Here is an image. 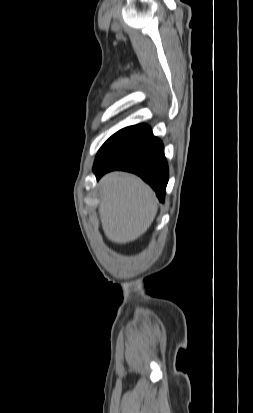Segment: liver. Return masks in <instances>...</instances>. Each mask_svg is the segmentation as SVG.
<instances>
[{
  "label": "liver",
  "mask_w": 253,
  "mask_h": 413,
  "mask_svg": "<svg viewBox=\"0 0 253 413\" xmlns=\"http://www.w3.org/2000/svg\"><path fill=\"white\" fill-rule=\"evenodd\" d=\"M99 215L103 231L112 242L125 244L143 235L158 210L153 190L126 172H111L99 182Z\"/></svg>",
  "instance_id": "6515ba94"
}]
</instances>
